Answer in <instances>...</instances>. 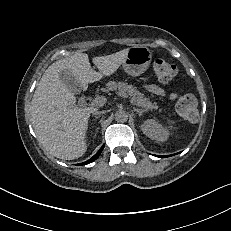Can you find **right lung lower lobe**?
<instances>
[{
	"mask_svg": "<svg viewBox=\"0 0 231 231\" xmlns=\"http://www.w3.org/2000/svg\"><path fill=\"white\" fill-rule=\"evenodd\" d=\"M103 148H104V146L101 147V149H100L91 159H89L88 161L83 162V163H81V164H82V165L89 164V163H91L92 161L96 160V159L99 157V155L101 154ZM81 164H80V165H81Z\"/></svg>",
	"mask_w": 231,
	"mask_h": 231,
	"instance_id": "right-lung-lower-lobe-1",
	"label": "right lung lower lobe"
}]
</instances>
